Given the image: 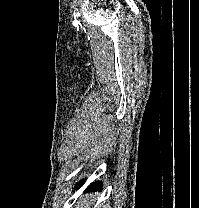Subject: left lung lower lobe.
Listing matches in <instances>:
<instances>
[{"label": "left lung lower lobe", "instance_id": "left-lung-lower-lobe-1", "mask_svg": "<svg viewBox=\"0 0 199 208\" xmlns=\"http://www.w3.org/2000/svg\"><path fill=\"white\" fill-rule=\"evenodd\" d=\"M82 185V182H79L77 185H76V188H79L81 187ZM101 186H102V183L101 182H96V183H93L91 184L89 187H88V190L86 191H91V190H101Z\"/></svg>", "mask_w": 199, "mask_h": 208}]
</instances>
